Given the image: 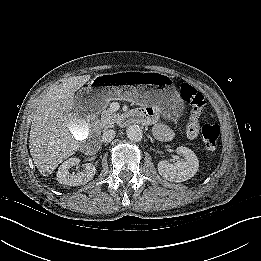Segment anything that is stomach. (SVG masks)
I'll return each instance as SVG.
<instances>
[{"instance_id": "stomach-1", "label": "stomach", "mask_w": 261, "mask_h": 261, "mask_svg": "<svg viewBox=\"0 0 261 261\" xmlns=\"http://www.w3.org/2000/svg\"><path fill=\"white\" fill-rule=\"evenodd\" d=\"M89 95L87 112L104 109L110 100H130L141 105L157 104L162 111L174 115L183 109V102L170 76L159 72L126 71L97 75L82 88Z\"/></svg>"}]
</instances>
